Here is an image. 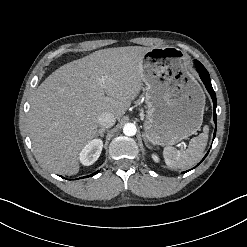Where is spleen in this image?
<instances>
[{
  "instance_id": "1",
  "label": "spleen",
  "mask_w": 247,
  "mask_h": 247,
  "mask_svg": "<svg viewBox=\"0 0 247 247\" xmlns=\"http://www.w3.org/2000/svg\"><path fill=\"white\" fill-rule=\"evenodd\" d=\"M208 126H204L203 133L190 140L187 149L177 150L167 146L163 150V157L168 167L172 169H186L197 163L203 156L208 141Z\"/></svg>"
}]
</instances>
